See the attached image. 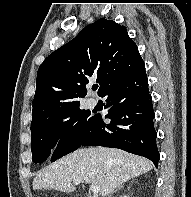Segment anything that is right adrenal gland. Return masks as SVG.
I'll use <instances>...</instances> for the list:
<instances>
[{"label": "right adrenal gland", "instance_id": "2a0ac1e0", "mask_svg": "<svg viewBox=\"0 0 191 197\" xmlns=\"http://www.w3.org/2000/svg\"><path fill=\"white\" fill-rule=\"evenodd\" d=\"M124 187V185H121V186H119L118 188H116L108 197H111V195L113 194V193H115V192H117L118 190H120L121 188H123ZM130 187H128V189H129Z\"/></svg>", "mask_w": 191, "mask_h": 197}]
</instances>
